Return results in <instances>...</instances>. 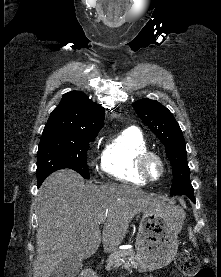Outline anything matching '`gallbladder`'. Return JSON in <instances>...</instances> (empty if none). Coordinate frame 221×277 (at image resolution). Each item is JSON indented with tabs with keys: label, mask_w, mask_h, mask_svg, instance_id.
Here are the masks:
<instances>
[{
	"label": "gallbladder",
	"mask_w": 221,
	"mask_h": 277,
	"mask_svg": "<svg viewBox=\"0 0 221 277\" xmlns=\"http://www.w3.org/2000/svg\"><path fill=\"white\" fill-rule=\"evenodd\" d=\"M82 266L81 259L75 257L67 258L56 266L51 277H76Z\"/></svg>",
	"instance_id": "1"
}]
</instances>
